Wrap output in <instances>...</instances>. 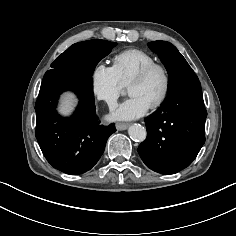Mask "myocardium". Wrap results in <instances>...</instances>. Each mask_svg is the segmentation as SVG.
<instances>
[{"label": "myocardium", "instance_id": "1", "mask_svg": "<svg viewBox=\"0 0 236 236\" xmlns=\"http://www.w3.org/2000/svg\"><path fill=\"white\" fill-rule=\"evenodd\" d=\"M155 70H159L161 71V73L163 74L164 77V88L163 91L160 95V97L150 106V108L152 109H156L159 108L167 99L170 89H171V75L169 72V69L161 63H151L147 66H145L144 68H142L131 80V82L128 85V88L134 84H138L141 83L143 81H145L149 75L155 71Z\"/></svg>", "mask_w": 236, "mask_h": 236}]
</instances>
